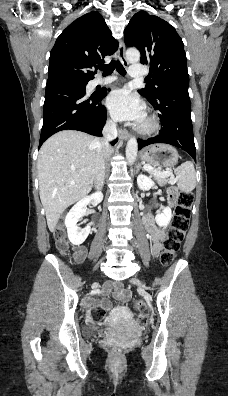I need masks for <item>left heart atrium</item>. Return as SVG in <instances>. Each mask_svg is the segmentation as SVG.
Masks as SVG:
<instances>
[{"mask_svg": "<svg viewBox=\"0 0 228 396\" xmlns=\"http://www.w3.org/2000/svg\"><path fill=\"white\" fill-rule=\"evenodd\" d=\"M106 104L115 119L141 122L145 117L143 103L128 90L113 91Z\"/></svg>", "mask_w": 228, "mask_h": 396, "instance_id": "left-heart-atrium-1", "label": "left heart atrium"}]
</instances>
